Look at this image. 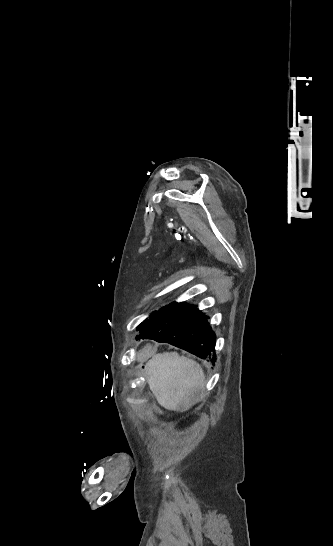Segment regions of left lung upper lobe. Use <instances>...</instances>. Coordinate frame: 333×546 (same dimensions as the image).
Returning a JSON list of instances; mask_svg holds the SVG:
<instances>
[{"label":"left lung upper lobe","instance_id":"5c2ea615","mask_svg":"<svg viewBox=\"0 0 333 546\" xmlns=\"http://www.w3.org/2000/svg\"><path fill=\"white\" fill-rule=\"evenodd\" d=\"M155 312L152 313V315L154 314ZM151 315V316H152ZM147 321V319L145 321H143L138 327L142 326L145 322Z\"/></svg>","mask_w":333,"mask_h":546}]
</instances>
